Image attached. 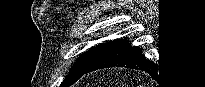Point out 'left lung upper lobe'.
<instances>
[{
    "label": "left lung upper lobe",
    "instance_id": "5c2ea615",
    "mask_svg": "<svg viewBox=\"0 0 205 87\" xmlns=\"http://www.w3.org/2000/svg\"><path fill=\"white\" fill-rule=\"evenodd\" d=\"M102 45H98L97 47L91 48L89 51L83 53L79 60L77 61L76 65L72 67L70 70L68 76L64 79V81L61 83L60 87H69L73 83H75L85 71L89 65L94 60L97 53L100 51Z\"/></svg>",
    "mask_w": 205,
    "mask_h": 87
}]
</instances>
